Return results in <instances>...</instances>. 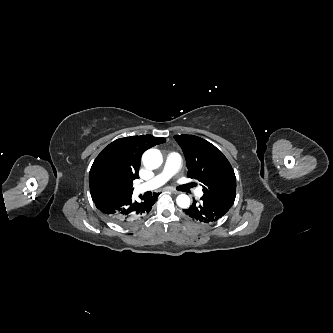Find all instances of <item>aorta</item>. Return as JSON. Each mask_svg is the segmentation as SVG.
<instances>
[{
	"label": "aorta",
	"mask_w": 333,
	"mask_h": 333,
	"mask_svg": "<svg viewBox=\"0 0 333 333\" xmlns=\"http://www.w3.org/2000/svg\"><path fill=\"white\" fill-rule=\"evenodd\" d=\"M142 160L147 168L156 169L162 164L163 158L159 150L149 149L144 152ZM176 202L179 207L188 208L190 205V198L186 194H181L177 197Z\"/></svg>",
	"instance_id": "aorta-1"
}]
</instances>
